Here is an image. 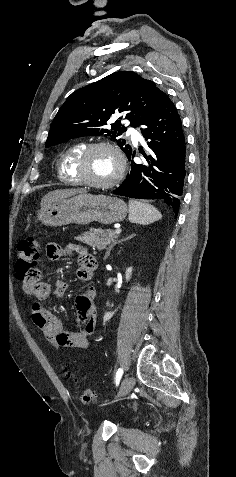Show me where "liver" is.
Here are the masks:
<instances>
[{"mask_svg": "<svg viewBox=\"0 0 236 477\" xmlns=\"http://www.w3.org/2000/svg\"><path fill=\"white\" fill-rule=\"evenodd\" d=\"M85 193L84 190L78 189H66V190H55L46 194L41 200V207L47 206L49 204H54L61 202L71 196L76 194Z\"/></svg>", "mask_w": 236, "mask_h": 477, "instance_id": "liver-1", "label": "liver"}]
</instances>
